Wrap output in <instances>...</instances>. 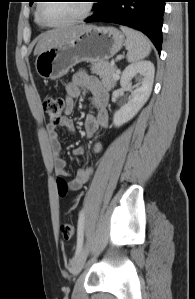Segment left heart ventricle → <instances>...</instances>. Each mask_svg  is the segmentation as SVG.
I'll use <instances>...</instances> for the list:
<instances>
[{
	"label": "left heart ventricle",
	"instance_id": "left-heart-ventricle-1",
	"mask_svg": "<svg viewBox=\"0 0 195 299\" xmlns=\"http://www.w3.org/2000/svg\"><path fill=\"white\" fill-rule=\"evenodd\" d=\"M85 1H50L42 7L43 16L52 23H61L79 16Z\"/></svg>",
	"mask_w": 195,
	"mask_h": 299
}]
</instances>
